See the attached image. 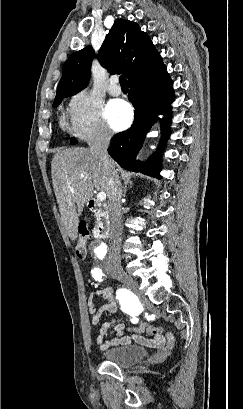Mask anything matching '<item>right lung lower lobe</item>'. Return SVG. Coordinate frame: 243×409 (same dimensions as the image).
Returning <instances> with one entry per match:
<instances>
[{
  "label": "right lung lower lobe",
  "mask_w": 243,
  "mask_h": 409,
  "mask_svg": "<svg viewBox=\"0 0 243 409\" xmlns=\"http://www.w3.org/2000/svg\"><path fill=\"white\" fill-rule=\"evenodd\" d=\"M129 87L128 98L135 107V121L128 130L111 139L109 154L122 168L161 178L157 155L140 164L136 162V155L156 121L157 114L165 115L161 120L163 139L169 134L171 102L174 100L173 82L163 65L150 75L130 82Z\"/></svg>",
  "instance_id": "obj_1"
}]
</instances>
